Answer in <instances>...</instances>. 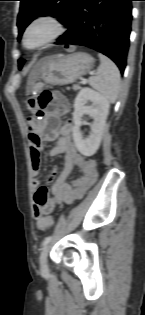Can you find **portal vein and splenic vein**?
I'll list each match as a JSON object with an SVG mask.
<instances>
[{
    "mask_svg": "<svg viewBox=\"0 0 145 315\" xmlns=\"http://www.w3.org/2000/svg\"><path fill=\"white\" fill-rule=\"evenodd\" d=\"M87 80L85 78L81 79V84H86Z\"/></svg>",
    "mask_w": 145,
    "mask_h": 315,
    "instance_id": "portal-vein-and-splenic-vein-1",
    "label": "portal vein and splenic vein"
}]
</instances>
